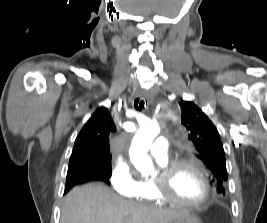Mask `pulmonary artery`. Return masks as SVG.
<instances>
[{
	"instance_id": "pulmonary-artery-1",
	"label": "pulmonary artery",
	"mask_w": 267,
	"mask_h": 223,
	"mask_svg": "<svg viewBox=\"0 0 267 223\" xmlns=\"http://www.w3.org/2000/svg\"><path fill=\"white\" fill-rule=\"evenodd\" d=\"M169 151V142L164 137L157 138L149 149L151 156L159 160H167Z\"/></svg>"
}]
</instances>
